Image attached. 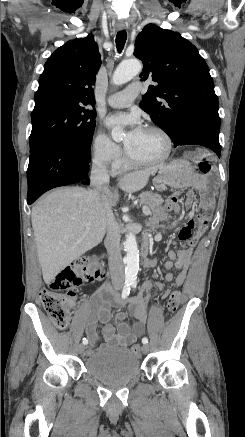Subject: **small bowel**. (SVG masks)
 Here are the masks:
<instances>
[{"label": "small bowel", "instance_id": "c3829d8e", "mask_svg": "<svg viewBox=\"0 0 245 437\" xmlns=\"http://www.w3.org/2000/svg\"><path fill=\"white\" fill-rule=\"evenodd\" d=\"M198 155L199 154L194 150H191L188 153V156L193 161L196 159L198 161H203L205 159L203 156ZM193 187L202 194V207L206 209L211 207L215 186L211 185L206 177L197 176L193 182ZM168 205L173 210L180 211V206L177 203H168ZM191 206L192 198H189L187 200V207L190 209ZM165 218L166 208L164 207L156 213L154 223L163 221ZM209 221V215L207 213H201L196 218L190 219L180 229L178 238L183 242V247L177 252L170 251L168 253L169 258L165 262V268L168 270L165 275V280L167 282H173L176 287H179L184 283L194 247L199 238L206 231ZM193 230H195V232L192 234ZM151 260L153 265L155 263V258H152ZM173 269L179 270L177 276H174V273L172 272ZM154 288L163 291L164 296H167L170 292L169 289L164 290L163 284L154 283L153 281L148 280L143 285L139 296L128 302L126 311L120 310L114 316H112L111 313V301L108 297V286L102 288L91 298L89 303L90 313L86 324V335L90 341V346L85 354L86 358L91 357L96 351L95 343L98 338L97 325L99 323L103 324L102 335L105 340V344L102 348H124L135 343L136 340L143 335L147 321V294ZM127 313L134 318L132 327L125 322Z\"/></svg>", "mask_w": 245, "mask_h": 437}]
</instances>
